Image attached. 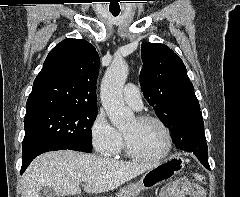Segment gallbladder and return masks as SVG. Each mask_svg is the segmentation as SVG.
I'll return each instance as SVG.
<instances>
[{"label":"gallbladder","mask_w":240,"mask_h":197,"mask_svg":"<svg viewBox=\"0 0 240 197\" xmlns=\"http://www.w3.org/2000/svg\"><path fill=\"white\" fill-rule=\"evenodd\" d=\"M39 197H56V193L49 187L42 188Z\"/></svg>","instance_id":"obj_1"}]
</instances>
